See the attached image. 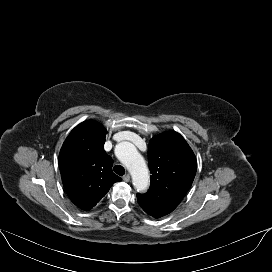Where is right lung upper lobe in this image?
Wrapping results in <instances>:
<instances>
[{
    "instance_id": "obj_1",
    "label": "right lung upper lobe",
    "mask_w": 272,
    "mask_h": 272,
    "mask_svg": "<svg viewBox=\"0 0 272 272\" xmlns=\"http://www.w3.org/2000/svg\"><path fill=\"white\" fill-rule=\"evenodd\" d=\"M106 133L100 123L84 121L71 131L60 150L64 188L82 210H90L121 180L112 172L113 160L103 149Z\"/></svg>"
}]
</instances>
